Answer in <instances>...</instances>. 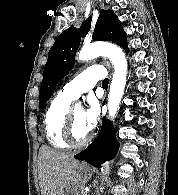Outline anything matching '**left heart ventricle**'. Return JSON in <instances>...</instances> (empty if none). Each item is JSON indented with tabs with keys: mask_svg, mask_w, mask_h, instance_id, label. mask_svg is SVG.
I'll return each instance as SVG.
<instances>
[{
	"mask_svg": "<svg viewBox=\"0 0 178 195\" xmlns=\"http://www.w3.org/2000/svg\"><path fill=\"white\" fill-rule=\"evenodd\" d=\"M90 134L83 121V111L76 109L73 111V136L77 142L85 140Z\"/></svg>",
	"mask_w": 178,
	"mask_h": 195,
	"instance_id": "left-heart-ventricle-1",
	"label": "left heart ventricle"
}]
</instances>
